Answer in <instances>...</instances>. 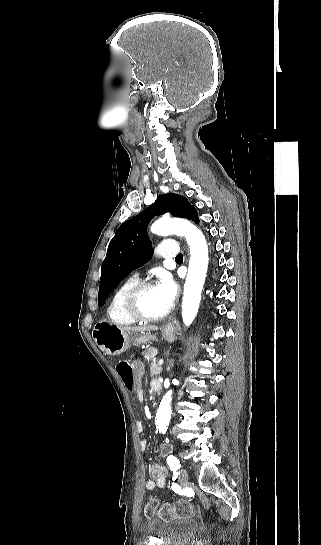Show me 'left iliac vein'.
<instances>
[{
    "label": "left iliac vein",
    "mask_w": 321,
    "mask_h": 545,
    "mask_svg": "<svg viewBox=\"0 0 321 545\" xmlns=\"http://www.w3.org/2000/svg\"><path fill=\"white\" fill-rule=\"evenodd\" d=\"M178 480L181 484L188 482V473L185 469L180 470Z\"/></svg>",
    "instance_id": "1"
}]
</instances>
